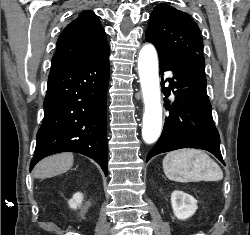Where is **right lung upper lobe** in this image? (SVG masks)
<instances>
[{
    "mask_svg": "<svg viewBox=\"0 0 250 235\" xmlns=\"http://www.w3.org/2000/svg\"><path fill=\"white\" fill-rule=\"evenodd\" d=\"M106 35L92 11H83L61 33L51 70L80 63L106 47Z\"/></svg>",
    "mask_w": 250,
    "mask_h": 235,
    "instance_id": "right-lung-upper-lobe-1",
    "label": "right lung upper lobe"
}]
</instances>
